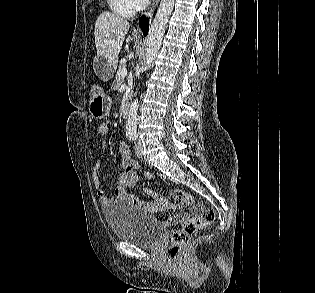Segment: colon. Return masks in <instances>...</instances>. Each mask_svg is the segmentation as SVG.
<instances>
[{"label": "colon", "mask_w": 315, "mask_h": 293, "mask_svg": "<svg viewBox=\"0 0 315 293\" xmlns=\"http://www.w3.org/2000/svg\"><path fill=\"white\" fill-rule=\"evenodd\" d=\"M107 131L108 127L105 123L99 124L97 128L99 135H105ZM171 196L180 205H189L193 203V197L181 189L173 190ZM194 209L195 211H200V214L195 217L184 219L180 224L176 225L171 232L169 257L172 261H177L182 257L193 233L215 221L216 216L213 210H203L199 203L194 205Z\"/></svg>", "instance_id": "5ec220e1"}]
</instances>
